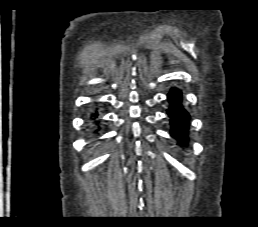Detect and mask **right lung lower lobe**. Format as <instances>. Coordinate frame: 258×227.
Here are the masks:
<instances>
[{
    "instance_id": "right-lung-lower-lobe-1",
    "label": "right lung lower lobe",
    "mask_w": 258,
    "mask_h": 227,
    "mask_svg": "<svg viewBox=\"0 0 258 227\" xmlns=\"http://www.w3.org/2000/svg\"><path fill=\"white\" fill-rule=\"evenodd\" d=\"M97 116H98V113H97V112H95V113L91 116V119H93V120H94V123H96V125H98V124H99V121H98V120H96Z\"/></svg>"
}]
</instances>
